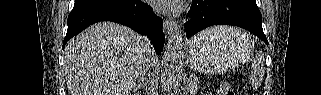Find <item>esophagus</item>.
I'll use <instances>...</instances> for the list:
<instances>
[{"label": "esophagus", "mask_w": 321, "mask_h": 95, "mask_svg": "<svg viewBox=\"0 0 321 95\" xmlns=\"http://www.w3.org/2000/svg\"><path fill=\"white\" fill-rule=\"evenodd\" d=\"M177 28V24L172 19L164 20V31L167 36L171 35V33Z\"/></svg>", "instance_id": "1"}]
</instances>
